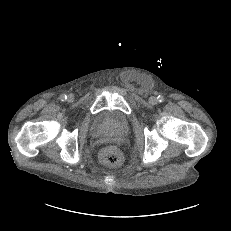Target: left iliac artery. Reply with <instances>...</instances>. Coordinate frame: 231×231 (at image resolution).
<instances>
[{"label": "left iliac artery", "instance_id": "left-iliac-artery-1", "mask_svg": "<svg viewBox=\"0 0 231 231\" xmlns=\"http://www.w3.org/2000/svg\"><path fill=\"white\" fill-rule=\"evenodd\" d=\"M157 99L160 103L164 101V97L162 95H159Z\"/></svg>", "mask_w": 231, "mask_h": 231}]
</instances>
